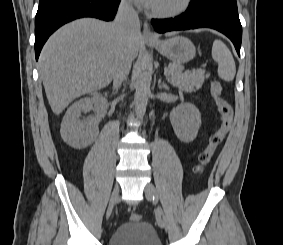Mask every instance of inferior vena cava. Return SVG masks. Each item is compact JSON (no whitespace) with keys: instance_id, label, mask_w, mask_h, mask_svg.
I'll list each match as a JSON object with an SVG mask.
<instances>
[{"instance_id":"1","label":"inferior vena cava","mask_w":283,"mask_h":245,"mask_svg":"<svg viewBox=\"0 0 283 245\" xmlns=\"http://www.w3.org/2000/svg\"><path fill=\"white\" fill-rule=\"evenodd\" d=\"M113 24L122 43L113 74V86L118 89L129 74L132 63L130 45L136 31L140 30L138 14L128 0L121 1Z\"/></svg>"}]
</instances>
